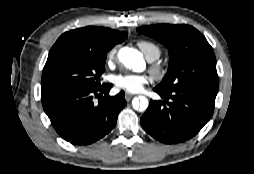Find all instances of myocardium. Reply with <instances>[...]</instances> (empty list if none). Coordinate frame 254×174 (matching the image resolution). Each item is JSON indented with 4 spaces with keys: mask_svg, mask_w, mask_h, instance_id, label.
Instances as JSON below:
<instances>
[{
    "mask_svg": "<svg viewBox=\"0 0 254 174\" xmlns=\"http://www.w3.org/2000/svg\"><path fill=\"white\" fill-rule=\"evenodd\" d=\"M150 71L157 80H163L167 75V67L163 63H154L151 65Z\"/></svg>",
    "mask_w": 254,
    "mask_h": 174,
    "instance_id": "myocardium-1",
    "label": "myocardium"
}]
</instances>
